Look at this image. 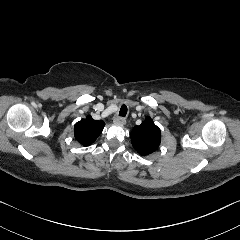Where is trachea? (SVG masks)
Returning <instances> with one entry per match:
<instances>
[{
  "label": "trachea",
  "instance_id": "trachea-1",
  "mask_svg": "<svg viewBox=\"0 0 240 240\" xmlns=\"http://www.w3.org/2000/svg\"><path fill=\"white\" fill-rule=\"evenodd\" d=\"M127 114V106L125 104H122L119 115L121 117H125Z\"/></svg>",
  "mask_w": 240,
  "mask_h": 240
}]
</instances>
